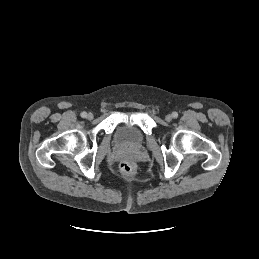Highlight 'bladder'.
<instances>
[{
  "label": "bladder",
  "mask_w": 259,
  "mask_h": 259,
  "mask_svg": "<svg viewBox=\"0 0 259 259\" xmlns=\"http://www.w3.org/2000/svg\"><path fill=\"white\" fill-rule=\"evenodd\" d=\"M114 139L121 148L137 149L144 143V134L135 125L122 124L117 128Z\"/></svg>",
  "instance_id": "bladder-1"
}]
</instances>
